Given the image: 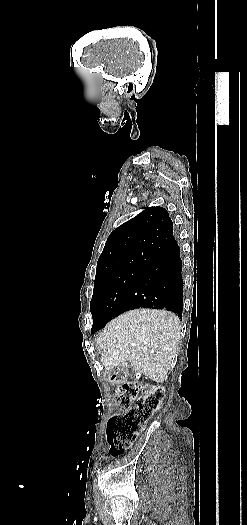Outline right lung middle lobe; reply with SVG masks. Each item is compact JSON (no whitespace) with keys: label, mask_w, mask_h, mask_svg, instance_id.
Masks as SVG:
<instances>
[{"label":"right lung middle lobe","mask_w":247,"mask_h":525,"mask_svg":"<svg viewBox=\"0 0 247 525\" xmlns=\"http://www.w3.org/2000/svg\"><path fill=\"white\" fill-rule=\"evenodd\" d=\"M151 261V256L138 260L134 265L112 271L96 272L90 310L93 326H104L117 315L116 311L135 281Z\"/></svg>","instance_id":"dd1d6c3e"}]
</instances>
